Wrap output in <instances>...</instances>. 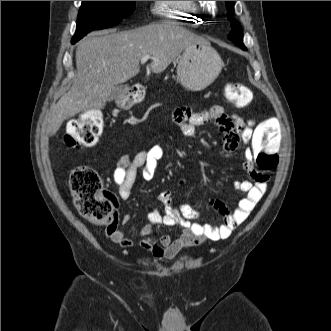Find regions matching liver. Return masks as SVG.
I'll list each match as a JSON object with an SVG mask.
<instances>
[{
    "label": "liver",
    "instance_id": "1",
    "mask_svg": "<svg viewBox=\"0 0 331 331\" xmlns=\"http://www.w3.org/2000/svg\"><path fill=\"white\" fill-rule=\"evenodd\" d=\"M203 41L172 22L90 33L77 44L73 84L51 107L45 120L46 134L55 135L64 120L79 112L103 109L112 88L139 73L144 55H150L152 72L161 73L187 46Z\"/></svg>",
    "mask_w": 331,
    "mask_h": 331
}]
</instances>
